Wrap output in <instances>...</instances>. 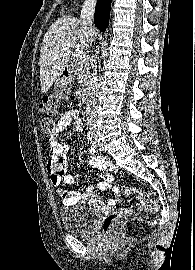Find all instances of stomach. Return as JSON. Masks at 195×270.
Instances as JSON below:
<instances>
[{
	"label": "stomach",
	"instance_id": "0dacf381",
	"mask_svg": "<svg viewBox=\"0 0 195 270\" xmlns=\"http://www.w3.org/2000/svg\"><path fill=\"white\" fill-rule=\"evenodd\" d=\"M68 83H69V79L61 75L56 80L54 89L56 90V89L62 88L63 86L67 85Z\"/></svg>",
	"mask_w": 195,
	"mask_h": 270
}]
</instances>
